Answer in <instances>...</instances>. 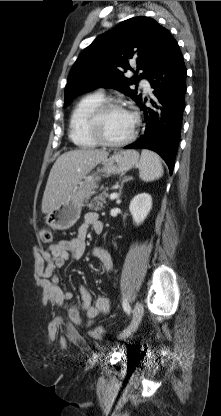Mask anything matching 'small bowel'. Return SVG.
I'll return each mask as SVG.
<instances>
[{
	"label": "small bowel",
	"instance_id": "1",
	"mask_svg": "<svg viewBox=\"0 0 221 416\" xmlns=\"http://www.w3.org/2000/svg\"><path fill=\"white\" fill-rule=\"evenodd\" d=\"M90 228L96 234L103 231V223L95 212L85 213L75 237L69 240H61L40 253L43 262L40 278L47 288L50 301L56 306L65 308L70 321L79 326H90L99 315L107 313L110 308L109 299L105 296H99L92 302L90 292L83 285H80L78 291L81 297V305L69 304L68 302L73 298V293L64 290L59 285L56 272L65 265L69 258L80 259L83 256L85 240ZM93 254L100 260L106 271L109 272L113 269L112 258L106 250L95 248ZM81 312H84L86 320L83 319Z\"/></svg>",
	"mask_w": 221,
	"mask_h": 416
}]
</instances>
